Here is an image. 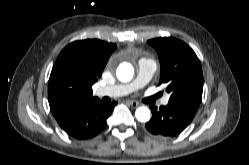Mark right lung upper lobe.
Here are the masks:
<instances>
[{"mask_svg":"<svg viewBox=\"0 0 249 165\" xmlns=\"http://www.w3.org/2000/svg\"><path fill=\"white\" fill-rule=\"evenodd\" d=\"M115 49L113 43L88 39L72 42L61 51L48 83V101L54 117L98 99L92 97V85Z\"/></svg>","mask_w":249,"mask_h":165,"instance_id":"1","label":"right lung upper lobe"}]
</instances>
